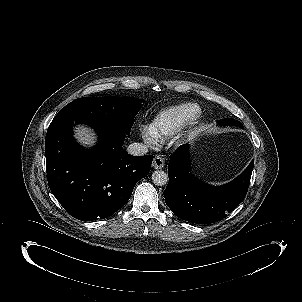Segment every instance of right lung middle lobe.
Segmentation results:
<instances>
[{"label": "right lung middle lobe", "mask_w": 302, "mask_h": 302, "mask_svg": "<svg viewBox=\"0 0 302 302\" xmlns=\"http://www.w3.org/2000/svg\"><path fill=\"white\" fill-rule=\"evenodd\" d=\"M141 103L142 100L125 97L78 98L63 107L49 127L66 122H99L113 125L129 135Z\"/></svg>", "instance_id": "1"}]
</instances>
